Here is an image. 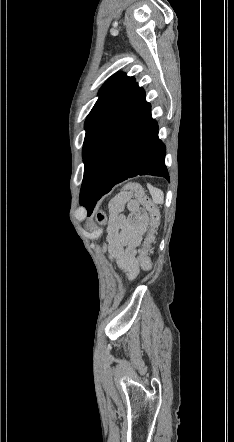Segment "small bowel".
<instances>
[{"label": "small bowel", "mask_w": 234, "mask_h": 442, "mask_svg": "<svg viewBox=\"0 0 234 442\" xmlns=\"http://www.w3.org/2000/svg\"><path fill=\"white\" fill-rule=\"evenodd\" d=\"M128 210V215L124 210ZM146 227V215L130 196L114 198L109 204V223L104 250L130 280L140 271L137 248Z\"/></svg>", "instance_id": "c3829d8e"}]
</instances>
